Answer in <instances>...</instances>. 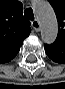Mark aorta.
Returning <instances> with one entry per match:
<instances>
[{"mask_svg":"<svg viewBox=\"0 0 65 89\" xmlns=\"http://www.w3.org/2000/svg\"><path fill=\"white\" fill-rule=\"evenodd\" d=\"M34 8L40 22L42 40L48 44L53 43L58 33V24L53 8L45 1L37 2Z\"/></svg>","mask_w":65,"mask_h":89,"instance_id":"762f6f07","label":"aorta"}]
</instances>
